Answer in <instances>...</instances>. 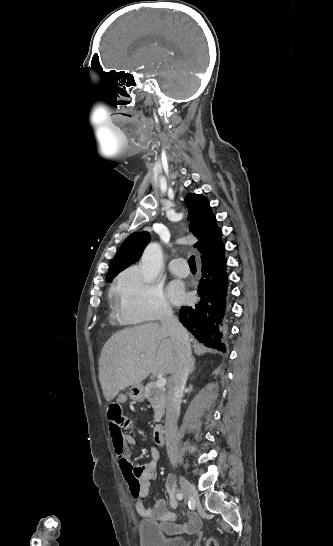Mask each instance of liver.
Masks as SVG:
<instances>
[{"instance_id":"obj_1","label":"liver","mask_w":333,"mask_h":546,"mask_svg":"<svg viewBox=\"0 0 333 546\" xmlns=\"http://www.w3.org/2000/svg\"><path fill=\"white\" fill-rule=\"evenodd\" d=\"M175 342L158 323L124 329L105 343L99 358V380L110 402L128 386L150 374H170L176 366Z\"/></svg>"}]
</instances>
